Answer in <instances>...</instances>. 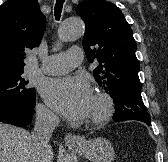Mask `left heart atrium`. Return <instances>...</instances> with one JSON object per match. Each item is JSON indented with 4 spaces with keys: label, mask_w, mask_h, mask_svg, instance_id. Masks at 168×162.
I'll list each match as a JSON object with an SVG mask.
<instances>
[{
    "label": "left heart atrium",
    "mask_w": 168,
    "mask_h": 162,
    "mask_svg": "<svg viewBox=\"0 0 168 162\" xmlns=\"http://www.w3.org/2000/svg\"><path fill=\"white\" fill-rule=\"evenodd\" d=\"M43 96L58 113L70 120L88 117L93 95L89 82L82 76H67L49 80Z\"/></svg>",
    "instance_id": "39dd6f15"
}]
</instances>
